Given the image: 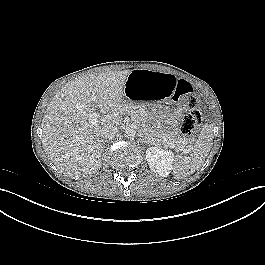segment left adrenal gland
I'll list each match as a JSON object with an SVG mask.
<instances>
[{
  "label": "left adrenal gland",
  "mask_w": 265,
  "mask_h": 265,
  "mask_svg": "<svg viewBox=\"0 0 265 265\" xmlns=\"http://www.w3.org/2000/svg\"><path fill=\"white\" fill-rule=\"evenodd\" d=\"M143 140H144L145 143L150 145V141L149 140H146V138H144Z\"/></svg>",
  "instance_id": "a2214340"
}]
</instances>
